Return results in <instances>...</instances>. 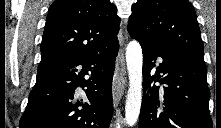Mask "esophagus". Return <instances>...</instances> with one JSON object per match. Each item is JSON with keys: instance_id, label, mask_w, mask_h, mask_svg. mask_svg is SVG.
<instances>
[{"instance_id": "obj_1", "label": "esophagus", "mask_w": 221, "mask_h": 128, "mask_svg": "<svg viewBox=\"0 0 221 128\" xmlns=\"http://www.w3.org/2000/svg\"><path fill=\"white\" fill-rule=\"evenodd\" d=\"M126 74L125 60L122 50L116 59L115 74L112 82V94H113V104L115 107L118 106L122 96H123V85L122 81Z\"/></svg>"}]
</instances>
